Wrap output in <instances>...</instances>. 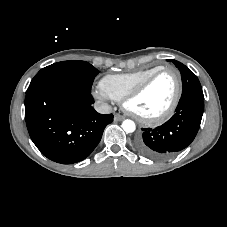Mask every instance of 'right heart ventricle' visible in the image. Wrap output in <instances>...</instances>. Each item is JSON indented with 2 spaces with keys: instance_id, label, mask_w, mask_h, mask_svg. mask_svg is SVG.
Instances as JSON below:
<instances>
[{
  "instance_id": "e07e8e85",
  "label": "right heart ventricle",
  "mask_w": 227,
  "mask_h": 227,
  "mask_svg": "<svg viewBox=\"0 0 227 227\" xmlns=\"http://www.w3.org/2000/svg\"><path fill=\"white\" fill-rule=\"evenodd\" d=\"M163 66H153L129 73L110 74L104 76L99 83L100 89L114 100H122L123 97L150 74Z\"/></svg>"
}]
</instances>
